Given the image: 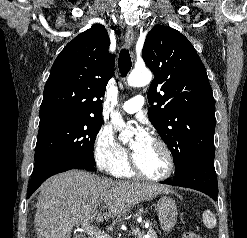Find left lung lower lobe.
<instances>
[{"mask_svg": "<svg viewBox=\"0 0 247 238\" xmlns=\"http://www.w3.org/2000/svg\"><path fill=\"white\" fill-rule=\"evenodd\" d=\"M168 185L192 188L217 200V176L214 162L193 160L174 180L164 182Z\"/></svg>", "mask_w": 247, "mask_h": 238, "instance_id": "obj_1", "label": "left lung lower lobe"}]
</instances>
